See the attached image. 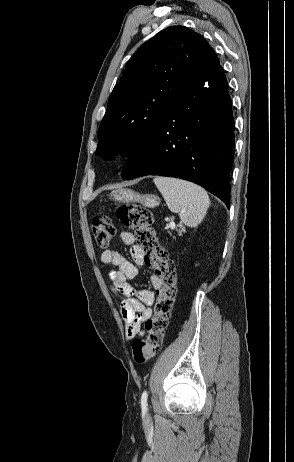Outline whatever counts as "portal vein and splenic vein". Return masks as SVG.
Instances as JSON below:
<instances>
[{
    "mask_svg": "<svg viewBox=\"0 0 294 462\" xmlns=\"http://www.w3.org/2000/svg\"><path fill=\"white\" fill-rule=\"evenodd\" d=\"M170 227H175V223L174 222H170Z\"/></svg>",
    "mask_w": 294,
    "mask_h": 462,
    "instance_id": "1",
    "label": "portal vein and splenic vein"
}]
</instances>
